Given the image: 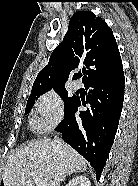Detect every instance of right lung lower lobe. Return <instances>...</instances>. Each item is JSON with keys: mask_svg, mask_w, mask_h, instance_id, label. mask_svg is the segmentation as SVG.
I'll return each mask as SVG.
<instances>
[{"mask_svg": "<svg viewBox=\"0 0 138 186\" xmlns=\"http://www.w3.org/2000/svg\"><path fill=\"white\" fill-rule=\"evenodd\" d=\"M86 100L76 97L64 113L56 130L63 140L80 153L96 171L100 179L117 132L124 99V75L110 81L88 82ZM90 108L75 113L80 105Z\"/></svg>", "mask_w": 138, "mask_h": 186, "instance_id": "right-lung-lower-lobe-1", "label": "right lung lower lobe"}]
</instances>
